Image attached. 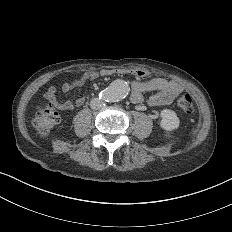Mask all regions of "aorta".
<instances>
[{
    "instance_id": "aorta-1",
    "label": "aorta",
    "mask_w": 232,
    "mask_h": 232,
    "mask_svg": "<svg viewBox=\"0 0 232 232\" xmlns=\"http://www.w3.org/2000/svg\"><path fill=\"white\" fill-rule=\"evenodd\" d=\"M129 93L127 82L121 79L113 81L102 93L105 100L110 102H118L124 99Z\"/></svg>"
}]
</instances>
